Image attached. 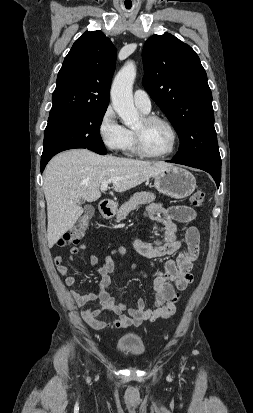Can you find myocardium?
<instances>
[{
	"mask_svg": "<svg viewBox=\"0 0 253 413\" xmlns=\"http://www.w3.org/2000/svg\"><path fill=\"white\" fill-rule=\"evenodd\" d=\"M143 120L145 121V123L160 122V123L165 124L169 128L172 134V143H171L170 148L167 151L163 153H152L146 149L141 133L134 129L133 134H134V139H135L136 152L147 158H163V157H167L171 155L177 148L178 141H179L178 131L173 125V123L166 117L159 116V115H146L143 117Z\"/></svg>",
	"mask_w": 253,
	"mask_h": 413,
	"instance_id": "obj_1",
	"label": "myocardium"
}]
</instances>
